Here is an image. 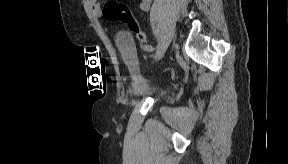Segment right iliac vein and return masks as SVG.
<instances>
[{
  "instance_id": "right-iliac-vein-1",
  "label": "right iliac vein",
  "mask_w": 288,
  "mask_h": 164,
  "mask_svg": "<svg viewBox=\"0 0 288 164\" xmlns=\"http://www.w3.org/2000/svg\"><path fill=\"white\" fill-rule=\"evenodd\" d=\"M163 53H164V48H160V49L155 53V55H154V57H153L154 60L156 61V60L160 59V58L162 57Z\"/></svg>"
}]
</instances>
